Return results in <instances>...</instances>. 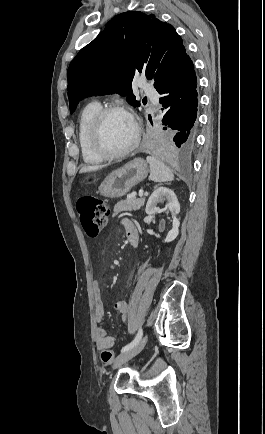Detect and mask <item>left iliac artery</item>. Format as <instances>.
<instances>
[{"instance_id": "1", "label": "left iliac artery", "mask_w": 265, "mask_h": 434, "mask_svg": "<svg viewBox=\"0 0 265 434\" xmlns=\"http://www.w3.org/2000/svg\"><path fill=\"white\" fill-rule=\"evenodd\" d=\"M142 334H143V331L140 328L139 331H138V333H137V335H136V337H135V339L132 342H130L129 344H127L126 346H124L122 348L121 352H125V351L131 349L132 347H134L140 341V339L142 337Z\"/></svg>"}]
</instances>
